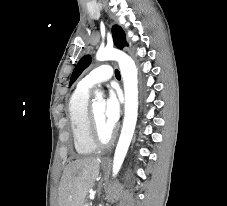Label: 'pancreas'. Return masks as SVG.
Masks as SVG:
<instances>
[{
  "label": "pancreas",
  "mask_w": 227,
  "mask_h": 206,
  "mask_svg": "<svg viewBox=\"0 0 227 206\" xmlns=\"http://www.w3.org/2000/svg\"><path fill=\"white\" fill-rule=\"evenodd\" d=\"M83 206H87V204H83Z\"/></svg>",
  "instance_id": "cf45deb5"
}]
</instances>
